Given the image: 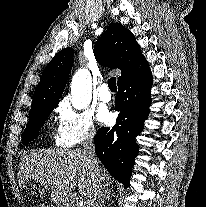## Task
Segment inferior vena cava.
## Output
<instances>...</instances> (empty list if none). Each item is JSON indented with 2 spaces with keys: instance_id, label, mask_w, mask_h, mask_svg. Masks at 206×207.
<instances>
[{
  "instance_id": "inferior-vena-cava-1",
  "label": "inferior vena cava",
  "mask_w": 206,
  "mask_h": 207,
  "mask_svg": "<svg viewBox=\"0 0 206 207\" xmlns=\"http://www.w3.org/2000/svg\"><path fill=\"white\" fill-rule=\"evenodd\" d=\"M94 132H91L83 145L84 154L87 157V161L92 170H94V195L92 199L88 201L87 207H102L101 196H102V184L100 180V164L95 155V146L93 143Z\"/></svg>"
}]
</instances>
